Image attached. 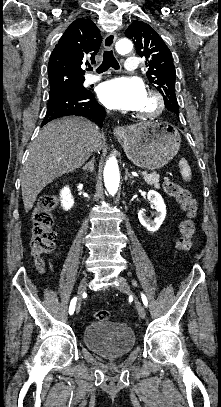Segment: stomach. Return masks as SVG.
Wrapping results in <instances>:
<instances>
[{"instance_id":"obj_1","label":"stomach","mask_w":221,"mask_h":407,"mask_svg":"<svg viewBox=\"0 0 221 407\" xmlns=\"http://www.w3.org/2000/svg\"><path fill=\"white\" fill-rule=\"evenodd\" d=\"M127 157L138 167L155 170L165 166L180 149L177 129L165 122H143L128 127L118 137Z\"/></svg>"}]
</instances>
